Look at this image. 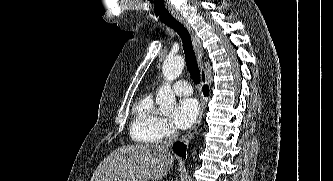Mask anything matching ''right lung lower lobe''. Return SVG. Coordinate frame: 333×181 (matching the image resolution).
Here are the masks:
<instances>
[{
  "mask_svg": "<svg viewBox=\"0 0 333 181\" xmlns=\"http://www.w3.org/2000/svg\"><path fill=\"white\" fill-rule=\"evenodd\" d=\"M203 92L205 95H208V87L207 86H204L203 88ZM173 150L174 152L179 155V156H182L185 158V154H186V146L181 143V142H176L174 145H173Z\"/></svg>",
  "mask_w": 333,
  "mask_h": 181,
  "instance_id": "98d812e1",
  "label": "right lung lower lobe"
}]
</instances>
